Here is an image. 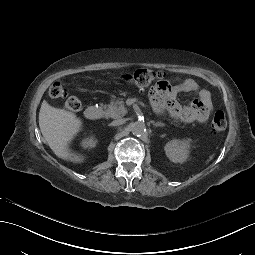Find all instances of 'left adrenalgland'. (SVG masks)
<instances>
[{
  "label": "left adrenal gland",
  "mask_w": 255,
  "mask_h": 255,
  "mask_svg": "<svg viewBox=\"0 0 255 255\" xmlns=\"http://www.w3.org/2000/svg\"><path fill=\"white\" fill-rule=\"evenodd\" d=\"M150 123H152L156 127H163V126H165L164 123H161V122L150 121Z\"/></svg>",
  "instance_id": "a2214340"
}]
</instances>
